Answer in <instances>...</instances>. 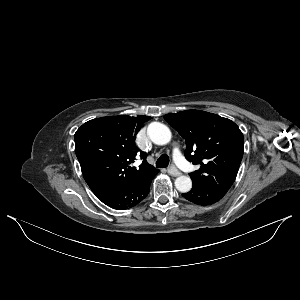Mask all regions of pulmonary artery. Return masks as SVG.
I'll return each instance as SVG.
<instances>
[{
    "label": "pulmonary artery",
    "mask_w": 300,
    "mask_h": 300,
    "mask_svg": "<svg viewBox=\"0 0 300 300\" xmlns=\"http://www.w3.org/2000/svg\"><path fill=\"white\" fill-rule=\"evenodd\" d=\"M174 160L176 164L185 171H192L193 165L178 151L174 152Z\"/></svg>",
    "instance_id": "obj_1"
}]
</instances>
